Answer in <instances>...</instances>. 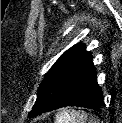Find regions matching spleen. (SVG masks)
Listing matches in <instances>:
<instances>
[{
  "instance_id": "3e777b00",
  "label": "spleen",
  "mask_w": 122,
  "mask_h": 123,
  "mask_svg": "<svg viewBox=\"0 0 122 123\" xmlns=\"http://www.w3.org/2000/svg\"><path fill=\"white\" fill-rule=\"evenodd\" d=\"M88 114L84 111L62 110L57 113L55 123H86Z\"/></svg>"
}]
</instances>
